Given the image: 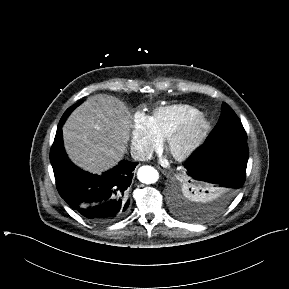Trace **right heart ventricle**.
I'll return each instance as SVG.
<instances>
[{
  "mask_svg": "<svg viewBox=\"0 0 289 289\" xmlns=\"http://www.w3.org/2000/svg\"><path fill=\"white\" fill-rule=\"evenodd\" d=\"M201 113L189 104H173L161 106L153 110L149 116L152 129L157 137L167 140L189 118Z\"/></svg>",
  "mask_w": 289,
  "mask_h": 289,
  "instance_id": "e07e8e85",
  "label": "right heart ventricle"
}]
</instances>
